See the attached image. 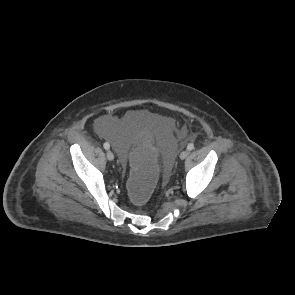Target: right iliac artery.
<instances>
[{
    "mask_svg": "<svg viewBox=\"0 0 295 295\" xmlns=\"http://www.w3.org/2000/svg\"><path fill=\"white\" fill-rule=\"evenodd\" d=\"M103 146H104V148H105L106 150H108V149L110 148V145H109V143H107V142H105Z\"/></svg>",
    "mask_w": 295,
    "mask_h": 295,
    "instance_id": "right-iliac-artery-1",
    "label": "right iliac artery"
}]
</instances>
